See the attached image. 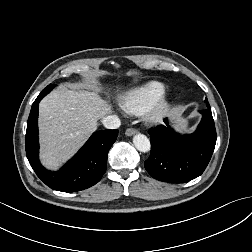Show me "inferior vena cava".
Here are the masks:
<instances>
[{"label": "inferior vena cava", "mask_w": 252, "mask_h": 252, "mask_svg": "<svg viewBox=\"0 0 252 252\" xmlns=\"http://www.w3.org/2000/svg\"><path fill=\"white\" fill-rule=\"evenodd\" d=\"M102 123L107 129H117L120 127V119L116 115H109L102 119Z\"/></svg>", "instance_id": "inferior-vena-cava-1"}]
</instances>
